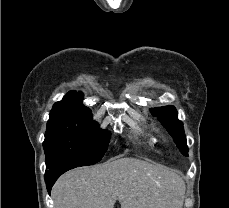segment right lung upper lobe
<instances>
[{
    "mask_svg": "<svg viewBox=\"0 0 229 208\" xmlns=\"http://www.w3.org/2000/svg\"><path fill=\"white\" fill-rule=\"evenodd\" d=\"M83 93L70 91L66 94V96L59 102L53 105L54 110H65L69 112H73L78 115L93 117L91 110L82 104L83 101Z\"/></svg>",
    "mask_w": 229,
    "mask_h": 208,
    "instance_id": "right-lung-upper-lobe-1",
    "label": "right lung upper lobe"
}]
</instances>
